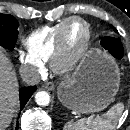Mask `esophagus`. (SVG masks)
<instances>
[{
	"instance_id": "esophagus-1",
	"label": "esophagus",
	"mask_w": 130,
	"mask_h": 130,
	"mask_svg": "<svg viewBox=\"0 0 130 130\" xmlns=\"http://www.w3.org/2000/svg\"><path fill=\"white\" fill-rule=\"evenodd\" d=\"M43 88L47 90H53L55 88V85L53 82H46L43 84Z\"/></svg>"
}]
</instances>
